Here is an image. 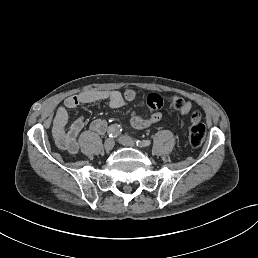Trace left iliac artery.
Wrapping results in <instances>:
<instances>
[{"instance_id": "left-iliac-artery-1", "label": "left iliac artery", "mask_w": 258, "mask_h": 258, "mask_svg": "<svg viewBox=\"0 0 258 258\" xmlns=\"http://www.w3.org/2000/svg\"><path fill=\"white\" fill-rule=\"evenodd\" d=\"M135 143L138 147H141V148H145L151 145L150 140H144V141L136 140Z\"/></svg>"}]
</instances>
